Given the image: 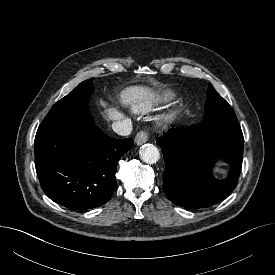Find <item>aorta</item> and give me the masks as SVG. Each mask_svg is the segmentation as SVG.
I'll use <instances>...</instances> for the list:
<instances>
[{"mask_svg": "<svg viewBox=\"0 0 275 275\" xmlns=\"http://www.w3.org/2000/svg\"><path fill=\"white\" fill-rule=\"evenodd\" d=\"M140 158L147 164H155L160 158L159 150L152 144H144L139 151Z\"/></svg>", "mask_w": 275, "mask_h": 275, "instance_id": "762f6f07", "label": "aorta"}]
</instances>
